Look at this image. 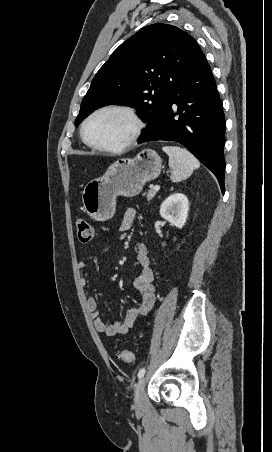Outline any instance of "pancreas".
Masks as SVG:
<instances>
[{
	"mask_svg": "<svg viewBox=\"0 0 272 452\" xmlns=\"http://www.w3.org/2000/svg\"><path fill=\"white\" fill-rule=\"evenodd\" d=\"M156 194V191L151 188L147 193H145L144 195L147 196V200H151Z\"/></svg>",
	"mask_w": 272,
	"mask_h": 452,
	"instance_id": "pancreas-1",
	"label": "pancreas"
}]
</instances>
